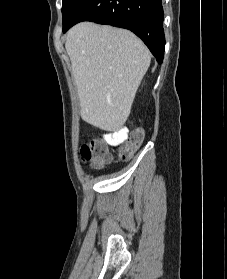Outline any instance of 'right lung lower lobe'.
<instances>
[{"label": "right lung lower lobe", "instance_id": "right-lung-lower-lobe-1", "mask_svg": "<svg viewBox=\"0 0 227 279\" xmlns=\"http://www.w3.org/2000/svg\"><path fill=\"white\" fill-rule=\"evenodd\" d=\"M162 0H84L71 27L92 21L131 30L150 49L158 63L165 50Z\"/></svg>", "mask_w": 227, "mask_h": 279}]
</instances>
